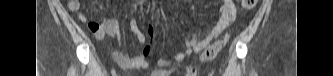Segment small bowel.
Wrapping results in <instances>:
<instances>
[{"label":"small bowel","instance_id":"small-bowel-1","mask_svg":"<svg viewBox=\"0 0 333 76\" xmlns=\"http://www.w3.org/2000/svg\"><path fill=\"white\" fill-rule=\"evenodd\" d=\"M67 8L71 12H76L80 9L79 0H67ZM78 20L82 23L88 22L87 15L78 13ZM236 7L233 0H223L220 7V17L216 24L206 33L203 38H199L197 34L188 36L184 41V50L176 53L171 59H159L157 62H152L148 58L151 53V47L147 44L146 35L140 30L139 23L136 19L129 21V27L132 33L136 36L137 42L141 45L140 52L135 57H130L120 50L113 52L115 63L122 69H154L155 76H168L171 74L169 68L183 61L188 55L203 51L212 40L219 37L235 20ZM88 27L98 39L113 38L120 35V25L117 20L102 18L98 21H89ZM148 33L152 38L155 34L152 25L147 26ZM185 76H195L196 70L192 67H187L184 72Z\"/></svg>","mask_w":333,"mask_h":76}]
</instances>
